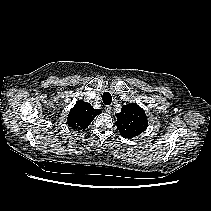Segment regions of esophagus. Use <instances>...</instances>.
<instances>
[{
  "label": "esophagus",
  "mask_w": 211,
  "mask_h": 211,
  "mask_svg": "<svg viewBox=\"0 0 211 211\" xmlns=\"http://www.w3.org/2000/svg\"><path fill=\"white\" fill-rule=\"evenodd\" d=\"M105 112L111 113V106H105Z\"/></svg>",
  "instance_id": "esophagus-1"
}]
</instances>
